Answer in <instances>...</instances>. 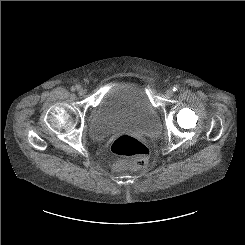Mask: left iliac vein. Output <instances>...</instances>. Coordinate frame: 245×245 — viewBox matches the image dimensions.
<instances>
[{
  "instance_id": "left-iliac-vein-1",
  "label": "left iliac vein",
  "mask_w": 245,
  "mask_h": 245,
  "mask_svg": "<svg viewBox=\"0 0 245 245\" xmlns=\"http://www.w3.org/2000/svg\"><path fill=\"white\" fill-rule=\"evenodd\" d=\"M166 95H167L168 97L172 96V95H173V90H172V89H168V90L166 91Z\"/></svg>"
}]
</instances>
